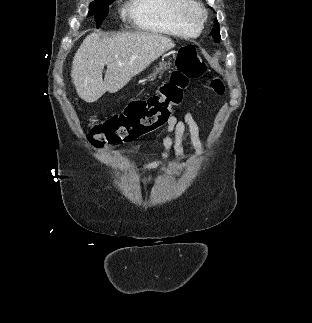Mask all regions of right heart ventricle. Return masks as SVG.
Returning <instances> with one entry per match:
<instances>
[{"instance_id":"1","label":"right heart ventricle","mask_w":312,"mask_h":323,"mask_svg":"<svg viewBox=\"0 0 312 323\" xmlns=\"http://www.w3.org/2000/svg\"><path fill=\"white\" fill-rule=\"evenodd\" d=\"M187 10L184 1L131 0L125 18L134 20L135 29L151 33H197L198 22Z\"/></svg>"}]
</instances>
